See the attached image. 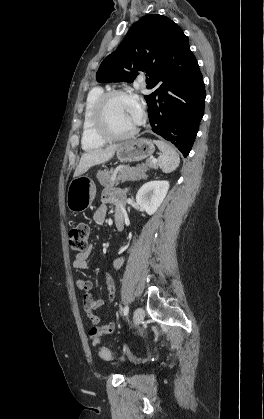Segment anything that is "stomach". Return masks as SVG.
I'll use <instances>...</instances> for the list:
<instances>
[{"label":"stomach","instance_id":"obj_1","mask_svg":"<svg viewBox=\"0 0 264 419\" xmlns=\"http://www.w3.org/2000/svg\"><path fill=\"white\" fill-rule=\"evenodd\" d=\"M155 151L151 140L134 139L119 144L116 149L117 158L122 162L140 161L150 157ZM96 194L94 182L87 176H78L70 182L66 204L73 213H80L91 206Z\"/></svg>","mask_w":264,"mask_h":419}]
</instances>
